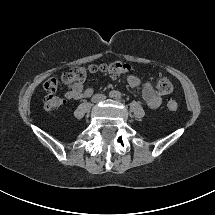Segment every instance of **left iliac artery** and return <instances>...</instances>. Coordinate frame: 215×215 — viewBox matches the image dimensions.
Instances as JSON below:
<instances>
[{
	"mask_svg": "<svg viewBox=\"0 0 215 215\" xmlns=\"http://www.w3.org/2000/svg\"><path fill=\"white\" fill-rule=\"evenodd\" d=\"M116 98H117V99H120V98H121V94H120V93H117Z\"/></svg>",
	"mask_w": 215,
	"mask_h": 215,
	"instance_id": "obj_1",
	"label": "left iliac artery"
}]
</instances>
